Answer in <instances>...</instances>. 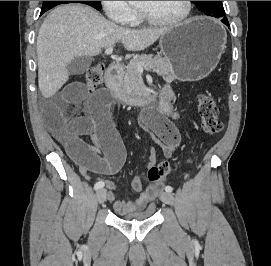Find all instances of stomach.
<instances>
[{"label": "stomach", "instance_id": "obj_1", "mask_svg": "<svg viewBox=\"0 0 271 266\" xmlns=\"http://www.w3.org/2000/svg\"><path fill=\"white\" fill-rule=\"evenodd\" d=\"M227 34L217 22L196 17L171 27L160 36L159 46L179 81H198L217 66L226 47Z\"/></svg>", "mask_w": 271, "mask_h": 266}]
</instances>
